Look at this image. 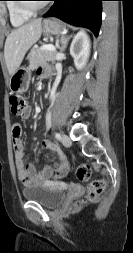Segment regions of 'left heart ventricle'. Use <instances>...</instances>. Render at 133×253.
<instances>
[{
  "mask_svg": "<svg viewBox=\"0 0 133 253\" xmlns=\"http://www.w3.org/2000/svg\"><path fill=\"white\" fill-rule=\"evenodd\" d=\"M32 4H34V5H38V4H41L40 2H35V3H32Z\"/></svg>",
  "mask_w": 133,
  "mask_h": 253,
  "instance_id": "b2bd125f",
  "label": "left heart ventricle"
}]
</instances>
